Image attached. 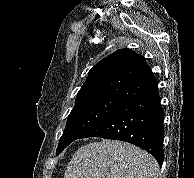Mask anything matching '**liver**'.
<instances>
[{"label": "liver", "mask_w": 194, "mask_h": 178, "mask_svg": "<svg viewBox=\"0 0 194 178\" xmlns=\"http://www.w3.org/2000/svg\"><path fill=\"white\" fill-rule=\"evenodd\" d=\"M159 166L146 151L130 143L103 140L79 148L64 178H158Z\"/></svg>", "instance_id": "obj_1"}]
</instances>
